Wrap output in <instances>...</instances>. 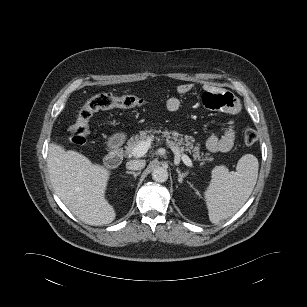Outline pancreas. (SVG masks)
Listing matches in <instances>:
<instances>
[{
  "label": "pancreas",
  "instance_id": "pancreas-1",
  "mask_svg": "<svg viewBox=\"0 0 307 307\" xmlns=\"http://www.w3.org/2000/svg\"><path fill=\"white\" fill-rule=\"evenodd\" d=\"M162 133L161 137L165 138L167 144L174 150L178 151L180 154L184 152H188L192 154L193 158L197 161H212L213 158L210 156V153H201L200 146L197 143L196 145L193 144L194 139L188 135L179 134L177 131H169L165 129L164 131L161 130H145L140 131L139 134L131 137L130 140L127 142V146H125V154L127 156L132 155L133 149L142 141L147 139H153L154 134ZM175 153V152H174Z\"/></svg>",
  "mask_w": 307,
  "mask_h": 307
}]
</instances>
